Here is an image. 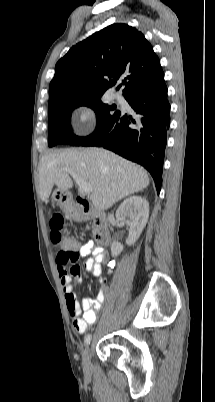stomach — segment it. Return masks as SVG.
Segmentation results:
<instances>
[{"instance_id":"1","label":"stomach","mask_w":215,"mask_h":402,"mask_svg":"<svg viewBox=\"0 0 215 402\" xmlns=\"http://www.w3.org/2000/svg\"><path fill=\"white\" fill-rule=\"evenodd\" d=\"M52 199L65 211L69 212L71 209L70 196L67 191L55 190L52 194Z\"/></svg>"}]
</instances>
